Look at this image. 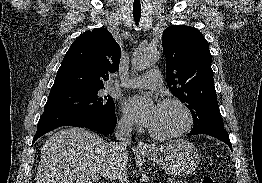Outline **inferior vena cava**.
Instances as JSON below:
<instances>
[{"mask_svg": "<svg viewBox=\"0 0 262 183\" xmlns=\"http://www.w3.org/2000/svg\"><path fill=\"white\" fill-rule=\"evenodd\" d=\"M133 122L129 119H121L116 126L115 136L117 142L108 144V148L115 158H127L126 142L131 139ZM119 183H129L127 170L121 168L117 175Z\"/></svg>", "mask_w": 262, "mask_h": 183, "instance_id": "inferior-vena-cava-1", "label": "inferior vena cava"}]
</instances>
